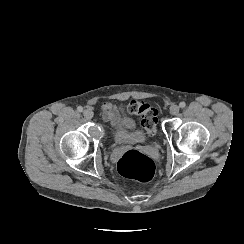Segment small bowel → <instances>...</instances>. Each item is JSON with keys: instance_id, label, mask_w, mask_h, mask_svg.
Segmentation results:
<instances>
[{"instance_id": "obj_1", "label": "small bowel", "mask_w": 244, "mask_h": 244, "mask_svg": "<svg viewBox=\"0 0 244 244\" xmlns=\"http://www.w3.org/2000/svg\"><path fill=\"white\" fill-rule=\"evenodd\" d=\"M102 112L105 121L119 132H133L135 129L134 121L123 115V109L116 104L105 102L102 105Z\"/></svg>"}]
</instances>
